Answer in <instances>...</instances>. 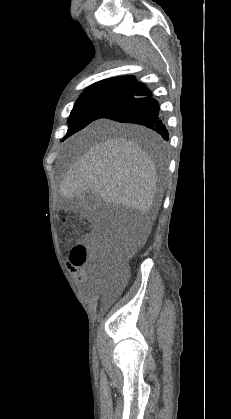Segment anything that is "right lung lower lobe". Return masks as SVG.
Masks as SVG:
<instances>
[{
  "instance_id": "obj_1",
  "label": "right lung lower lobe",
  "mask_w": 231,
  "mask_h": 419,
  "mask_svg": "<svg viewBox=\"0 0 231 419\" xmlns=\"http://www.w3.org/2000/svg\"><path fill=\"white\" fill-rule=\"evenodd\" d=\"M102 118L141 124L159 133L164 140H168V131L160 113L159 103L142 83L135 87L126 100L106 112Z\"/></svg>"
}]
</instances>
